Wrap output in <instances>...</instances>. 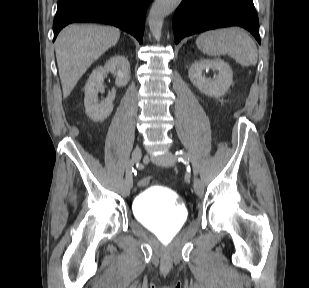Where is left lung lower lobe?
Segmentation results:
<instances>
[{
    "label": "left lung lower lobe",
    "mask_w": 309,
    "mask_h": 288,
    "mask_svg": "<svg viewBox=\"0 0 309 288\" xmlns=\"http://www.w3.org/2000/svg\"><path fill=\"white\" fill-rule=\"evenodd\" d=\"M241 26L260 43L259 23L252 0H183L173 18L174 40L206 30Z\"/></svg>",
    "instance_id": "1"
}]
</instances>
